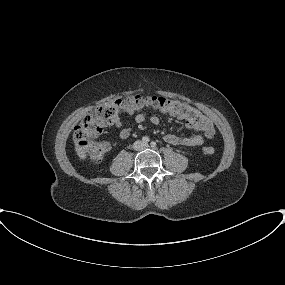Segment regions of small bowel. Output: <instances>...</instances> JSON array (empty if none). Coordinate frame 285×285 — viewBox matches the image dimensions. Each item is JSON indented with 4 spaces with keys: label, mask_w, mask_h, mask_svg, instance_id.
Wrapping results in <instances>:
<instances>
[{
    "label": "small bowel",
    "mask_w": 285,
    "mask_h": 285,
    "mask_svg": "<svg viewBox=\"0 0 285 285\" xmlns=\"http://www.w3.org/2000/svg\"><path fill=\"white\" fill-rule=\"evenodd\" d=\"M147 117H148V115L146 112L140 111V112H137L135 114L134 119H135L136 123L140 124V123L145 122L147 120ZM150 121L152 124L157 125L160 122V118L157 115H152L150 117ZM186 125L189 128H194V129L200 130V129L192 126L191 124H189L187 121H186ZM115 126L120 129L119 137L121 139L125 140L131 136L132 128L129 126H126L122 120L118 119L115 122ZM212 136L213 135H208L205 132H204V134L201 132H197V133H194L191 135H185V136H180V135L169 133V134H166L164 136V140L167 143L172 144V145H182V146H187V147H195V146L202 145L204 143L205 137L211 138Z\"/></svg>",
    "instance_id": "c3829d8e"
}]
</instances>
